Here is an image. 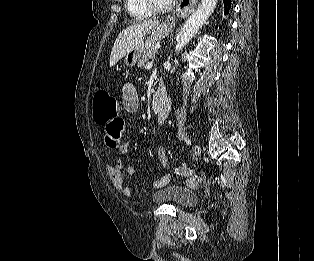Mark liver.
<instances>
[{"label":"liver","mask_w":314,"mask_h":261,"mask_svg":"<svg viewBox=\"0 0 314 261\" xmlns=\"http://www.w3.org/2000/svg\"><path fill=\"white\" fill-rule=\"evenodd\" d=\"M159 21H142L123 29L116 38L111 56L110 67L114 66L121 58L129 53L140 41L155 27Z\"/></svg>","instance_id":"liver-1"}]
</instances>
